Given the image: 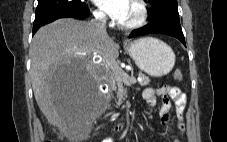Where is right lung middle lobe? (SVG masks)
Here are the masks:
<instances>
[{
	"instance_id": "right-lung-middle-lobe-1",
	"label": "right lung middle lobe",
	"mask_w": 227,
	"mask_h": 142,
	"mask_svg": "<svg viewBox=\"0 0 227 142\" xmlns=\"http://www.w3.org/2000/svg\"><path fill=\"white\" fill-rule=\"evenodd\" d=\"M86 6L82 0H38L36 14L62 8H78Z\"/></svg>"
}]
</instances>
